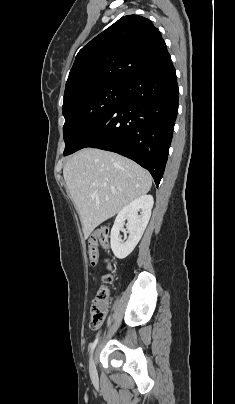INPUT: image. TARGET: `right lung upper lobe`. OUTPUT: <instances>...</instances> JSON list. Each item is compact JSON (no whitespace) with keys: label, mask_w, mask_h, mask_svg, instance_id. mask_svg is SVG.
Segmentation results:
<instances>
[{"label":"right lung upper lobe","mask_w":235,"mask_h":404,"mask_svg":"<svg viewBox=\"0 0 235 404\" xmlns=\"http://www.w3.org/2000/svg\"><path fill=\"white\" fill-rule=\"evenodd\" d=\"M160 31L139 15H127L92 39L77 54L64 103L105 84H124L169 57Z\"/></svg>","instance_id":"1"}]
</instances>
